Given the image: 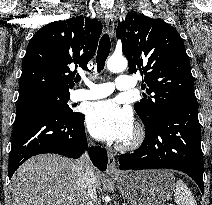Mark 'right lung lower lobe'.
<instances>
[{"instance_id": "obj_1", "label": "right lung lower lobe", "mask_w": 212, "mask_h": 205, "mask_svg": "<svg viewBox=\"0 0 212 205\" xmlns=\"http://www.w3.org/2000/svg\"><path fill=\"white\" fill-rule=\"evenodd\" d=\"M87 150L84 115L67 117L43 105H20L12 132L8 175L11 179L18 167L32 156L57 153L69 158H79ZM89 155L93 164L105 171L107 153L101 147H91Z\"/></svg>"}]
</instances>
